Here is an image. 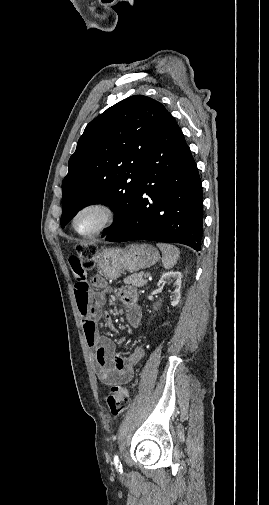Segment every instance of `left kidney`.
I'll return each mask as SVG.
<instances>
[{"label": "left kidney", "mask_w": 269, "mask_h": 505, "mask_svg": "<svg viewBox=\"0 0 269 505\" xmlns=\"http://www.w3.org/2000/svg\"><path fill=\"white\" fill-rule=\"evenodd\" d=\"M170 278H173L175 280V290L172 293V298H171V305L173 307L177 306L180 298H181V279H182V274L179 271H169L164 273L159 282L157 283L158 286H160L162 283H164L166 280H169Z\"/></svg>", "instance_id": "obj_1"}]
</instances>
